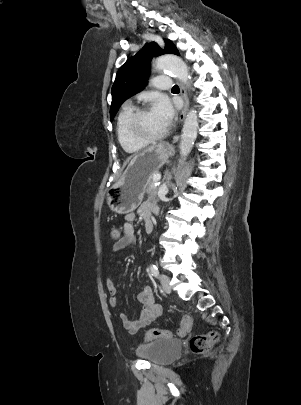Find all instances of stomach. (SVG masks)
Instances as JSON below:
<instances>
[{
  "mask_svg": "<svg viewBox=\"0 0 301 405\" xmlns=\"http://www.w3.org/2000/svg\"><path fill=\"white\" fill-rule=\"evenodd\" d=\"M172 149L171 145L160 143L132 158L121 178L108 192L110 209L118 214L134 211L142 202L152 176L167 162Z\"/></svg>",
  "mask_w": 301,
  "mask_h": 405,
  "instance_id": "0dacf381",
  "label": "stomach"
}]
</instances>
